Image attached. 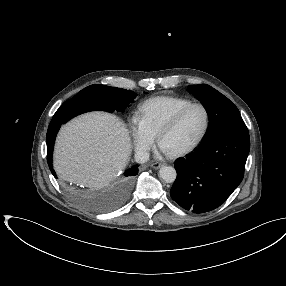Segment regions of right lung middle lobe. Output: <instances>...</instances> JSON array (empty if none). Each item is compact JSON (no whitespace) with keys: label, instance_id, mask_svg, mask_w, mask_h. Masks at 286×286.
<instances>
[{"label":"right lung middle lobe","instance_id":"right-lung-middle-lobe-1","mask_svg":"<svg viewBox=\"0 0 286 286\" xmlns=\"http://www.w3.org/2000/svg\"><path fill=\"white\" fill-rule=\"evenodd\" d=\"M136 93L116 87L101 84L90 85L70 100L65 101L53 116L54 120L67 122L76 115L84 112L102 110L107 112L123 111L133 102ZM131 179H125L124 185L128 189Z\"/></svg>","mask_w":286,"mask_h":286}]
</instances>
